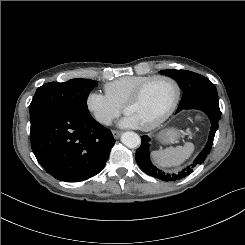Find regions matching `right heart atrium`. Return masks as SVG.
Instances as JSON below:
<instances>
[{
	"label": "right heart atrium",
	"mask_w": 245,
	"mask_h": 245,
	"mask_svg": "<svg viewBox=\"0 0 245 245\" xmlns=\"http://www.w3.org/2000/svg\"><path fill=\"white\" fill-rule=\"evenodd\" d=\"M85 107L93 119L109 126L120 115L122 107L113 102L106 94L99 91H90L85 97Z\"/></svg>",
	"instance_id": "obj_1"
}]
</instances>
